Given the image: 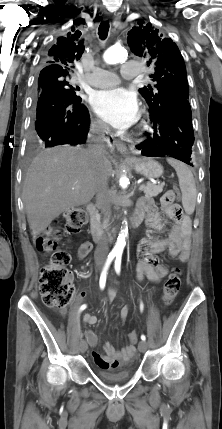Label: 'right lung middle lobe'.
Masks as SVG:
<instances>
[{"label":"right lung middle lobe","mask_w":222,"mask_h":429,"mask_svg":"<svg viewBox=\"0 0 222 429\" xmlns=\"http://www.w3.org/2000/svg\"><path fill=\"white\" fill-rule=\"evenodd\" d=\"M49 85L57 86L65 90L69 95L79 98L75 93L76 88L68 82V75H39L37 93L39 94L44 87Z\"/></svg>","instance_id":"obj_1"}]
</instances>
